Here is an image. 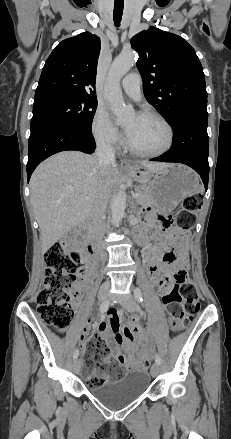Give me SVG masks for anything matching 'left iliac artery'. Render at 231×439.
<instances>
[{"label": "left iliac artery", "instance_id": "1", "mask_svg": "<svg viewBox=\"0 0 231 439\" xmlns=\"http://www.w3.org/2000/svg\"><path fill=\"white\" fill-rule=\"evenodd\" d=\"M134 293H135L136 300L139 303L142 302L143 301V297H142V293H141L140 289L136 288ZM155 362L158 363L159 365L161 364V358H160V356L158 354H156V356H155Z\"/></svg>", "mask_w": 231, "mask_h": 439}]
</instances>
